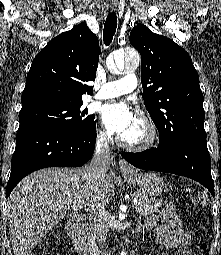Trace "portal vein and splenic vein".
<instances>
[{
  "label": "portal vein and splenic vein",
  "mask_w": 221,
  "mask_h": 255,
  "mask_svg": "<svg viewBox=\"0 0 221 255\" xmlns=\"http://www.w3.org/2000/svg\"><path fill=\"white\" fill-rule=\"evenodd\" d=\"M135 203H136V200H134V201H133V203H132V207H134V206H135ZM74 209L76 210L77 208L75 207Z\"/></svg>",
  "instance_id": "portal-vein-and-splenic-vein-1"
}]
</instances>
